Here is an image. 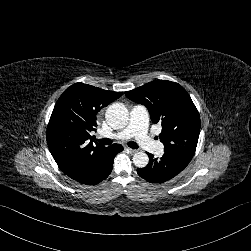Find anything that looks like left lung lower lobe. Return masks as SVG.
I'll list each match as a JSON object with an SVG mask.
<instances>
[{"label": "left lung lower lobe", "mask_w": 251, "mask_h": 251, "mask_svg": "<svg viewBox=\"0 0 251 251\" xmlns=\"http://www.w3.org/2000/svg\"><path fill=\"white\" fill-rule=\"evenodd\" d=\"M149 163L144 168L137 169L140 177L152 183H163L178 175L191 161L182 153L165 151L162 157L154 158L149 154Z\"/></svg>", "instance_id": "left-lung-lower-lobe-1"}]
</instances>
